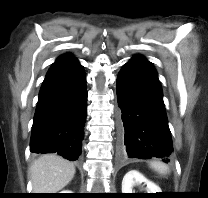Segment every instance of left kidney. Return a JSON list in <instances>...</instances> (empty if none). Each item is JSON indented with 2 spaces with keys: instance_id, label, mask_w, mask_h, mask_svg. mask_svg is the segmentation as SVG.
<instances>
[{
  "instance_id": "obj_1",
  "label": "left kidney",
  "mask_w": 208,
  "mask_h": 198,
  "mask_svg": "<svg viewBox=\"0 0 208 198\" xmlns=\"http://www.w3.org/2000/svg\"><path fill=\"white\" fill-rule=\"evenodd\" d=\"M144 183L147 185L146 190L147 193H158L161 192V189L159 186H157L155 183L151 182L147 178H145L141 173H139L136 170H131L123 178L122 181V193H134L133 186L135 184H141Z\"/></svg>"
}]
</instances>
